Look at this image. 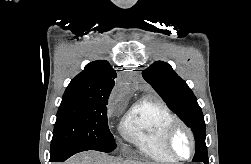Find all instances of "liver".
Masks as SVG:
<instances>
[{"instance_id": "6515ba94", "label": "liver", "mask_w": 251, "mask_h": 164, "mask_svg": "<svg viewBox=\"0 0 251 164\" xmlns=\"http://www.w3.org/2000/svg\"><path fill=\"white\" fill-rule=\"evenodd\" d=\"M64 164H154V163H143L138 161H121V159L108 156L104 153L97 151H86L79 153Z\"/></svg>"}]
</instances>
